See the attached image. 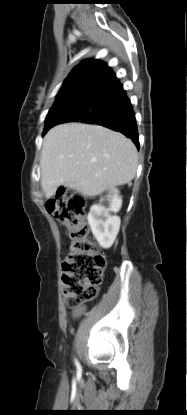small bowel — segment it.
<instances>
[{
	"instance_id": "obj_1",
	"label": "small bowel",
	"mask_w": 187,
	"mask_h": 415,
	"mask_svg": "<svg viewBox=\"0 0 187 415\" xmlns=\"http://www.w3.org/2000/svg\"><path fill=\"white\" fill-rule=\"evenodd\" d=\"M82 311H83V308H80V309H78L77 311L74 312V315L78 316Z\"/></svg>"
}]
</instances>
